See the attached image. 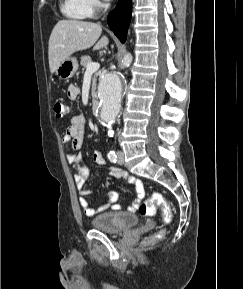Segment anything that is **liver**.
<instances>
[{
  "label": "liver",
  "instance_id": "obj_1",
  "mask_svg": "<svg viewBox=\"0 0 243 289\" xmlns=\"http://www.w3.org/2000/svg\"><path fill=\"white\" fill-rule=\"evenodd\" d=\"M102 27L97 23L79 20H60L55 25L49 38L48 59L51 74L59 65L77 51L94 46L93 50L106 47L109 40L103 36ZM97 42V43H96Z\"/></svg>",
  "mask_w": 243,
  "mask_h": 289
}]
</instances>
